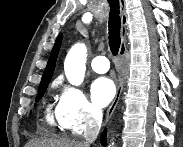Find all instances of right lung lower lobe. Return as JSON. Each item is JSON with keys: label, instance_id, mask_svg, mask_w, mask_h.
Segmentation results:
<instances>
[{"label": "right lung lower lobe", "instance_id": "1", "mask_svg": "<svg viewBox=\"0 0 183 147\" xmlns=\"http://www.w3.org/2000/svg\"><path fill=\"white\" fill-rule=\"evenodd\" d=\"M101 143H102L103 145L106 144V131H104L103 134H102Z\"/></svg>", "mask_w": 183, "mask_h": 147}]
</instances>
